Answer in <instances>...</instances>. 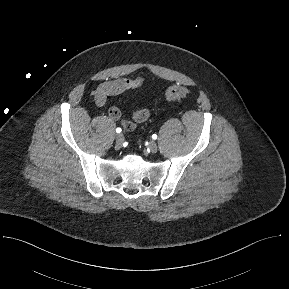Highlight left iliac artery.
Instances as JSON below:
<instances>
[{"label":"left iliac artery","mask_w":289,"mask_h":289,"mask_svg":"<svg viewBox=\"0 0 289 289\" xmlns=\"http://www.w3.org/2000/svg\"><path fill=\"white\" fill-rule=\"evenodd\" d=\"M152 139L156 140V139H157V135H156V134H153V135H152Z\"/></svg>","instance_id":"obj_1"}]
</instances>
